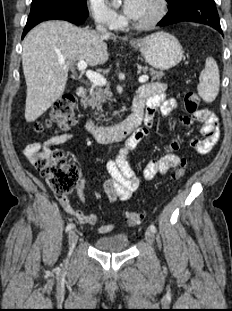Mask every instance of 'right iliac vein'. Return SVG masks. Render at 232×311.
<instances>
[{
    "label": "right iliac vein",
    "mask_w": 232,
    "mask_h": 311,
    "mask_svg": "<svg viewBox=\"0 0 232 311\" xmlns=\"http://www.w3.org/2000/svg\"><path fill=\"white\" fill-rule=\"evenodd\" d=\"M77 240H78V235L76 234V232L70 231V233H69V247L71 250L75 247Z\"/></svg>",
    "instance_id": "63e3f726"
}]
</instances>
